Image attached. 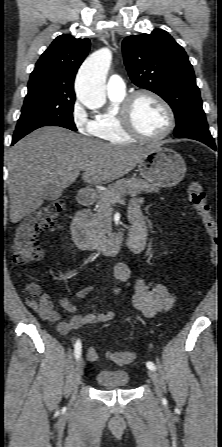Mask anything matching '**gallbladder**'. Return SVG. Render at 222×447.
<instances>
[{"mask_svg": "<svg viewBox=\"0 0 222 447\" xmlns=\"http://www.w3.org/2000/svg\"><path fill=\"white\" fill-rule=\"evenodd\" d=\"M63 189L56 187L55 185H48L43 189L42 196L44 200L53 201L61 197Z\"/></svg>", "mask_w": 222, "mask_h": 447, "instance_id": "gallbladder-1", "label": "gallbladder"}]
</instances>
